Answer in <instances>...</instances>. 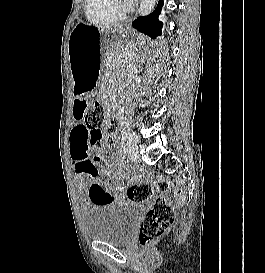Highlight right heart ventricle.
<instances>
[{
    "mask_svg": "<svg viewBox=\"0 0 265 273\" xmlns=\"http://www.w3.org/2000/svg\"><path fill=\"white\" fill-rule=\"evenodd\" d=\"M85 15L94 24H111L120 18L110 0H85Z\"/></svg>",
    "mask_w": 265,
    "mask_h": 273,
    "instance_id": "obj_1",
    "label": "right heart ventricle"
}]
</instances>
